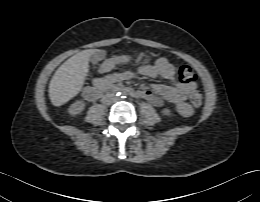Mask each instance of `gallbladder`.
Masks as SVG:
<instances>
[{"instance_id":"bac80fb5","label":"gallbladder","mask_w":260,"mask_h":202,"mask_svg":"<svg viewBox=\"0 0 260 202\" xmlns=\"http://www.w3.org/2000/svg\"><path fill=\"white\" fill-rule=\"evenodd\" d=\"M104 58V52L103 51H99L96 52L92 58H91V63L93 65H96L100 60H102Z\"/></svg>"}]
</instances>
